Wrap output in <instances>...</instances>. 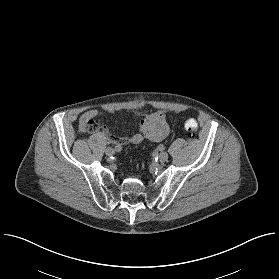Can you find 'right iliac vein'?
Instances as JSON below:
<instances>
[{"label":"right iliac vein","mask_w":279,"mask_h":279,"mask_svg":"<svg viewBox=\"0 0 279 279\" xmlns=\"http://www.w3.org/2000/svg\"><path fill=\"white\" fill-rule=\"evenodd\" d=\"M105 153H106V155L111 156V155L114 154V149L111 148V147H107V148L105 149Z\"/></svg>","instance_id":"63e3f726"}]
</instances>
